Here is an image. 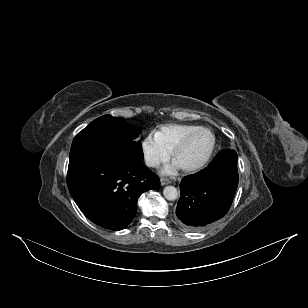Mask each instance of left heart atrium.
<instances>
[{
    "label": "left heart atrium",
    "mask_w": 308,
    "mask_h": 308,
    "mask_svg": "<svg viewBox=\"0 0 308 308\" xmlns=\"http://www.w3.org/2000/svg\"><path fill=\"white\" fill-rule=\"evenodd\" d=\"M179 168V166L176 164V162L174 161L173 163L167 165L162 172L165 174H171L174 173L177 169Z\"/></svg>",
    "instance_id": "1"
}]
</instances>
